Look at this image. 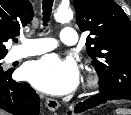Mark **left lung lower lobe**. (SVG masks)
Instances as JSON below:
<instances>
[{
    "label": "left lung lower lobe",
    "mask_w": 131,
    "mask_h": 115,
    "mask_svg": "<svg viewBox=\"0 0 131 115\" xmlns=\"http://www.w3.org/2000/svg\"><path fill=\"white\" fill-rule=\"evenodd\" d=\"M126 99L131 100V93L129 92H102L90 97L89 99L80 102L74 107L75 113H82L90 108L105 103L108 100Z\"/></svg>",
    "instance_id": "1"
}]
</instances>
